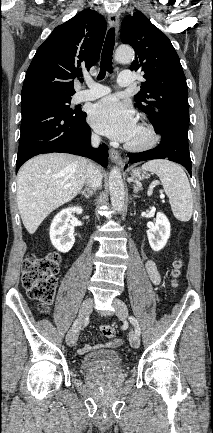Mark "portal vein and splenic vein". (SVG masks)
<instances>
[{"mask_svg":"<svg viewBox=\"0 0 213 433\" xmlns=\"http://www.w3.org/2000/svg\"><path fill=\"white\" fill-rule=\"evenodd\" d=\"M149 196L152 194V188H150V190L148 191V193H147ZM161 198H164V195H161L160 196Z\"/></svg>","mask_w":213,"mask_h":433,"instance_id":"portal-vein-and-splenic-vein-1","label":"portal vein and splenic vein"}]
</instances>
